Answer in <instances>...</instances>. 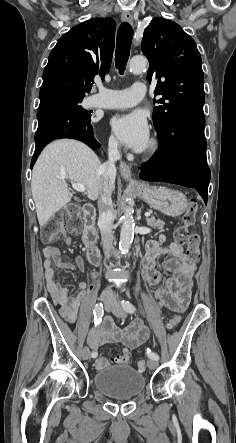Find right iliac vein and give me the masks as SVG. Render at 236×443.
I'll list each match as a JSON object with an SVG mask.
<instances>
[{
  "instance_id": "right-iliac-vein-1",
  "label": "right iliac vein",
  "mask_w": 236,
  "mask_h": 443,
  "mask_svg": "<svg viewBox=\"0 0 236 443\" xmlns=\"http://www.w3.org/2000/svg\"><path fill=\"white\" fill-rule=\"evenodd\" d=\"M112 308H113V304H111V303H106L104 305L105 311H110ZM81 357L84 360H88L90 358V350H89L88 347L85 346V347L82 348V350H81Z\"/></svg>"
}]
</instances>
